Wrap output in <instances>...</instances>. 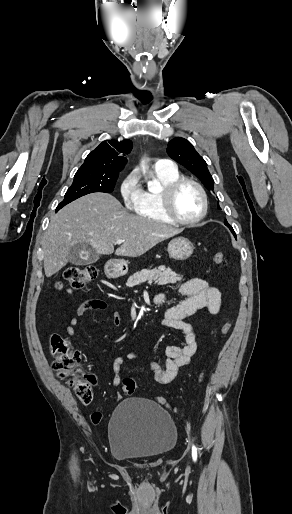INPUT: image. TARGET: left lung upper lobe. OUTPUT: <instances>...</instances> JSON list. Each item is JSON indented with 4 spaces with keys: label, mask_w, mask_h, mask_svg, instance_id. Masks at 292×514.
Segmentation results:
<instances>
[{
    "label": "left lung upper lobe",
    "mask_w": 292,
    "mask_h": 514,
    "mask_svg": "<svg viewBox=\"0 0 292 514\" xmlns=\"http://www.w3.org/2000/svg\"><path fill=\"white\" fill-rule=\"evenodd\" d=\"M167 153L173 160L183 165L197 176L209 191L214 190V180L207 168L205 160L197 153L188 140L180 137L174 138L168 143ZM218 208L221 209L219 205ZM224 224L236 237L233 228L229 225L227 220L224 221Z\"/></svg>",
    "instance_id": "1"
}]
</instances>
